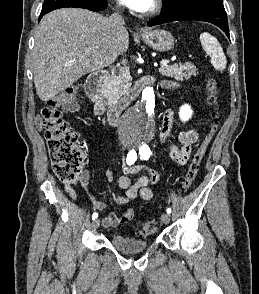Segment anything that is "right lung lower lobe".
<instances>
[{
  "mask_svg": "<svg viewBox=\"0 0 259 294\" xmlns=\"http://www.w3.org/2000/svg\"><path fill=\"white\" fill-rule=\"evenodd\" d=\"M65 7H76V8H84L89 9L92 11H100L107 7V1L106 0H95L94 2L87 3V4H75V3H59L51 7L49 10L45 12H41V15L39 17V20L43 17V15L49 13L52 10L58 9V8H65Z\"/></svg>",
  "mask_w": 259,
  "mask_h": 294,
  "instance_id": "right-lung-lower-lobe-1",
  "label": "right lung lower lobe"
}]
</instances>
